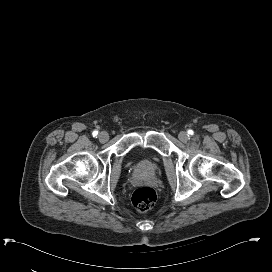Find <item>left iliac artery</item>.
I'll list each match as a JSON object with an SVG mask.
<instances>
[{"instance_id": "left-iliac-artery-1", "label": "left iliac artery", "mask_w": 272, "mask_h": 272, "mask_svg": "<svg viewBox=\"0 0 272 272\" xmlns=\"http://www.w3.org/2000/svg\"><path fill=\"white\" fill-rule=\"evenodd\" d=\"M188 134L193 135L194 134L193 130H188Z\"/></svg>"}]
</instances>
